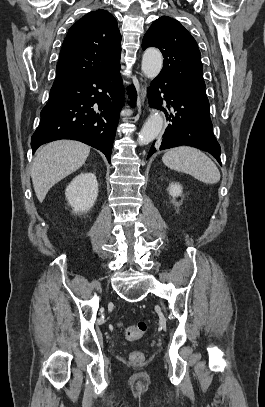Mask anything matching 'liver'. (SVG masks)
<instances>
[{"label":"liver","mask_w":265,"mask_h":407,"mask_svg":"<svg viewBox=\"0 0 265 407\" xmlns=\"http://www.w3.org/2000/svg\"><path fill=\"white\" fill-rule=\"evenodd\" d=\"M90 147L73 140H58L41 147L33 161L31 178L39 202L48 191L86 161Z\"/></svg>","instance_id":"liver-1"}]
</instances>
